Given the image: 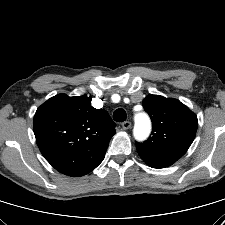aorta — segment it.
I'll return each instance as SVG.
<instances>
[{
    "label": "aorta",
    "instance_id": "obj_1",
    "mask_svg": "<svg viewBox=\"0 0 225 225\" xmlns=\"http://www.w3.org/2000/svg\"><path fill=\"white\" fill-rule=\"evenodd\" d=\"M151 131V122L145 113H139L135 116V126L133 130L134 137L137 140H144Z\"/></svg>",
    "mask_w": 225,
    "mask_h": 225
}]
</instances>
